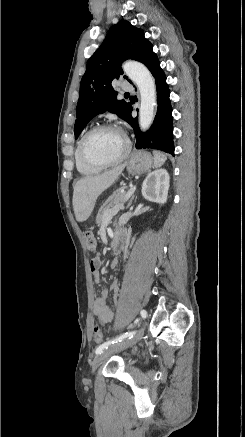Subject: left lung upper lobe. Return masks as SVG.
<instances>
[{
  "instance_id": "5c2ea615",
  "label": "left lung upper lobe",
  "mask_w": 245,
  "mask_h": 437,
  "mask_svg": "<svg viewBox=\"0 0 245 437\" xmlns=\"http://www.w3.org/2000/svg\"><path fill=\"white\" fill-rule=\"evenodd\" d=\"M142 29L123 20L113 25L104 42L87 61L82 77L74 126L75 139L96 115L109 111L126 120L130 103L117 100L112 81L123 75L121 64L126 59L141 61L152 49ZM128 79V77L124 76Z\"/></svg>"
}]
</instances>
